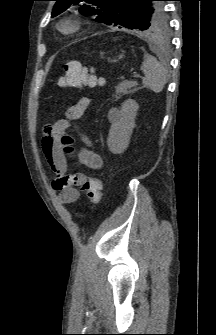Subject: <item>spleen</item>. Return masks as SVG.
<instances>
[{
	"label": "spleen",
	"mask_w": 216,
	"mask_h": 335,
	"mask_svg": "<svg viewBox=\"0 0 216 335\" xmlns=\"http://www.w3.org/2000/svg\"><path fill=\"white\" fill-rule=\"evenodd\" d=\"M141 70L145 75L143 85L155 93L161 92L167 82V69L154 56L146 54Z\"/></svg>",
	"instance_id": "spleen-1"
}]
</instances>
